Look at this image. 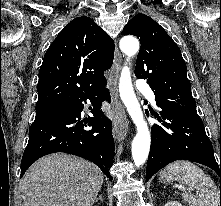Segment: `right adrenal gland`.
Masks as SVG:
<instances>
[{"label": "right adrenal gland", "instance_id": "2a0ac1e0", "mask_svg": "<svg viewBox=\"0 0 221 206\" xmlns=\"http://www.w3.org/2000/svg\"><path fill=\"white\" fill-rule=\"evenodd\" d=\"M98 201L103 202V198L101 194H99L98 198L95 200V202H98Z\"/></svg>", "mask_w": 221, "mask_h": 206}]
</instances>
